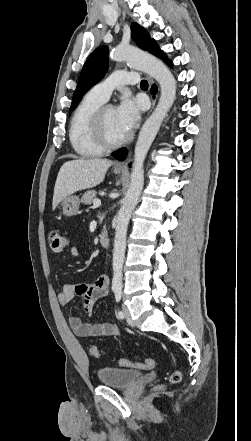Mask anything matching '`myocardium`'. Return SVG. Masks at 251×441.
<instances>
[{
    "label": "myocardium",
    "instance_id": "myocardium-1",
    "mask_svg": "<svg viewBox=\"0 0 251 441\" xmlns=\"http://www.w3.org/2000/svg\"><path fill=\"white\" fill-rule=\"evenodd\" d=\"M108 107L110 106L102 105L101 107H99L97 111L94 113L91 121V128L94 139L98 143V145L102 147L104 150L118 148L123 144H125L126 142H128V140L130 139L129 134H126L124 137L116 141L109 139L104 125L105 111Z\"/></svg>",
    "mask_w": 251,
    "mask_h": 441
}]
</instances>
